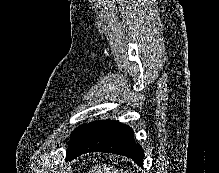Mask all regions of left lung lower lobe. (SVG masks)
Here are the masks:
<instances>
[{
	"instance_id": "obj_1",
	"label": "left lung lower lobe",
	"mask_w": 219,
	"mask_h": 173,
	"mask_svg": "<svg viewBox=\"0 0 219 173\" xmlns=\"http://www.w3.org/2000/svg\"><path fill=\"white\" fill-rule=\"evenodd\" d=\"M96 151L124 155L139 166L143 165L144 151L135 143L132 129L116 121L89 123L73 147L67 150L66 161Z\"/></svg>"
}]
</instances>
